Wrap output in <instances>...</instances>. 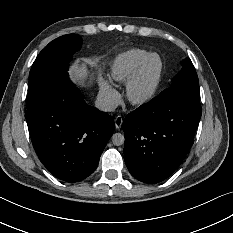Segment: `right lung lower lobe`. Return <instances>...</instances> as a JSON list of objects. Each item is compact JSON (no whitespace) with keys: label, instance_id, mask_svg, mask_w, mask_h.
Wrapping results in <instances>:
<instances>
[{"label":"right lung lower lobe","instance_id":"1","mask_svg":"<svg viewBox=\"0 0 233 233\" xmlns=\"http://www.w3.org/2000/svg\"><path fill=\"white\" fill-rule=\"evenodd\" d=\"M25 118L40 161L55 177L70 183L95 171L115 129L114 117L87 105L68 77L27 109Z\"/></svg>","mask_w":233,"mask_h":233}]
</instances>
